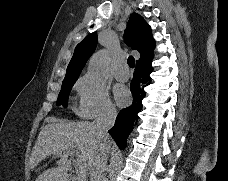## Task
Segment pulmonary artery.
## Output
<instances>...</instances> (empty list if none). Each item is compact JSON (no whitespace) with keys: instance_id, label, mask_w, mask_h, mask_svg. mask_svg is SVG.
Instances as JSON below:
<instances>
[{"instance_id":"1","label":"pulmonary artery","mask_w":228,"mask_h":181,"mask_svg":"<svg viewBox=\"0 0 228 181\" xmlns=\"http://www.w3.org/2000/svg\"><path fill=\"white\" fill-rule=\"evenodd\" d=\"M129 74H122L121 71H118V75H117V78L118 79H129Z\"/></svg>"}]
</instances>
